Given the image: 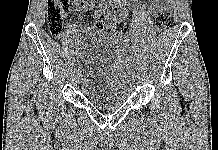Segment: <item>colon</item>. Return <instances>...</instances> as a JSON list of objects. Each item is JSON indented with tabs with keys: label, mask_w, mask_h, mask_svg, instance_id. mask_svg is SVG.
<instances>
[{
	"label": "colon",
	"mask_w": 218,
	"mask_h": 150,
	"mask_svg": "<svg viewBox=\"0 0 218 150\" xmlns=\"http://www.w3.org/2000/svg\"><path fill=\"white\" fill-rule=\"evenodd\" d=\"M71 0H48L47 16L49 31L53 36H60L63 29V22L70 10ZM171 15L167 8L160 9L155 17V30L161 32L170 25ZM120 17L114 20L100 21L96 24L100 31L111 34L115 39H119L121 34L117 30V22Z\"/></svg>",
	"instance_id": "obj_1"
}]
</instances>
